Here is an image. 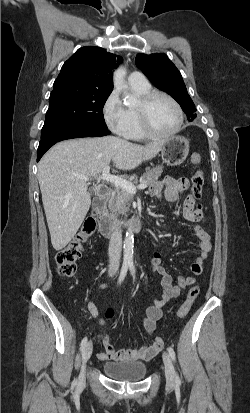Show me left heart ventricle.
I'll list each match as a JSON object with an SVG mask.
<instances>
[{"mask_svg": "<svg viewBox=\"0 0 250 413\" xmlns=\"http://www.w3.org/2000/svg\"><path fill=\"white\" fill-rule=\"evenodd\" d=\"M150 121L155 131L168 133L178 123V113L174 105L164 97H156L150 107Z\"/></svg>", "mask_w": 250, "mask_h": 413, "instance_id": "left-heart-ventricle-1", "label": "left heart ventricle"}]
</instances>
